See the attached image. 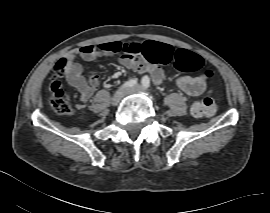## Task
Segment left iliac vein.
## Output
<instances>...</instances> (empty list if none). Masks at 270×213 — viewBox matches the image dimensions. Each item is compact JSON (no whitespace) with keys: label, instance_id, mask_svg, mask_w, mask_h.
<instances>
[{"label":"left iliac vein","instance_id":"obj_1","mask_svg":"<svg viewBox=\"0 0 270 213\" xmlns=\"http://www.w3.org/2000/svg\"><path fill=\"white\" fill-rule=\"evenodd\" d=\"M132 93H146V91L140 85H136V86H133L132 88H128L125 90V94H132Z\"/></svg>","mask_w":270,"mask_h":213}]
</instances>
